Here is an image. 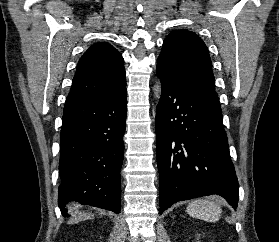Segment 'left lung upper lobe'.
I'll return each instance as SVG.
<instances>
[{"label": "left lung upper lobe", "mask_w": 279, "mask_h": 242, "mask_svg": "<svg viewBox=\"0 0 279 242\" xmlns=\"http://www.w3.org/2000/svg\"><path fill=\"white\" fill-rule=\"evenodd\" d=\"M158 59L220 107L214 88L212 62L206 45L198 35L187 30L172 31L164 40Z\"/></svg>", "instance_id": "1"}]
</instances>
